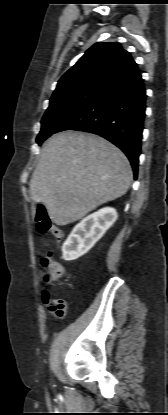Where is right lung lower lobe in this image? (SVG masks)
Listing matches in <instances>:
<instances>
[{
	"label": "right lung lower lobe",
	"mask_w": 168,
	"mask_h": 415,
	"mask_svg": "<svg viewBox=\"0 0 168 415\" xmlns=\"http://www.w3.org/2000/svg\"><path fill=\"white\" fill-rule=\"evenodd\" d=\"M146 108V91L136 66L121 77L57 132L84 131L97 134L119 147L129 159L137 176Z\"/></svg>",
	"instance_id": "98d812e1"
}]
</instances>
